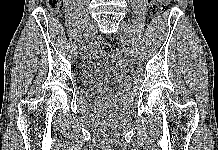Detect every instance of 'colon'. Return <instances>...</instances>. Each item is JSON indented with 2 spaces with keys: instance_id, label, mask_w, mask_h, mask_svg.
Instances as JSON below:
<instances>
[{
  "instance_id": "colon-1",
  "label": "colon",
  "mask_w": 218,
  "mask_h": 150,
  "mask_svg": "<svg viewBox=\"0 0 218 150\" xmlns=\"http://www.w3.org/2000/svg\"><path fill=\"white\" fill-rule=\"evenodd\" d=\"M165 0H147V10L150 15H158L163 12ZM48 9L56 15L63 7V0H46ZM96 49L101 53L109 54L112 50L111 44L104 38H99L95 43Z\"/></svg>"
}]
</instances>
